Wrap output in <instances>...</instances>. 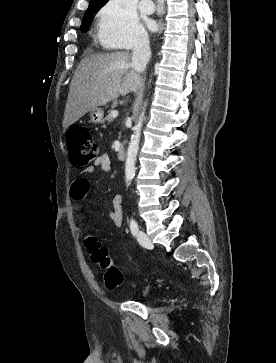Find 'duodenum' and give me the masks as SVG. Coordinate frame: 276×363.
<instances>
[{
	"label": "duodenum",
	"mask_w": 276,
	"mask_h": 363,
	"mask_svg": "<svg viewBox=\"0 0 276 363\" xmlns=\"http://www.w3.org/2000/svg\"><path fill=\"white\" fill-rule=\"evenodd\" d=\"M126 157V150L125 147L123 145H121L118 150H117V158L119 160H124Z\"/></svg>",
	"instance_id": "1"
}]
</instances>
